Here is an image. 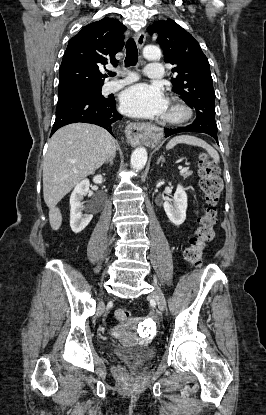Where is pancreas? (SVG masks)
<instances>
[{
	"instance_id": "pancreas-1",
	"label": "pancreas",
	"mask_w": 266,
	"mask_h": 415,
	"mask_svg": "<svg viewBox=\"0 0 266 415\" xmlns=\"http://www.w3.org/2000/svg\"><path fill=\"white\" fill-rule=\"evenodd\" d=\"M193 174V172L192 171H186V172H184V173H180V175L184 178V179H186V178H188L189 176H191Z\"/></svg>"
}]
</instances>
